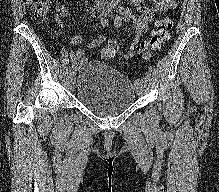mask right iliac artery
Masks as SVG:
<instances>
[{
	"mask_svg": "<svg viewBox=\"0 0 219 192\" xmlns=\"http://www.w3.org/2000/svg\"><path fill=\"white\" fill-rule=\"evenodd\" d=\"M112 11V6H108L98 17L99 20H103L104 17H106L110 12ZM74 65L70 67V72L74 70Z\"/></svg>",
	"mask_w": 219,
	"mask_h": 192,
	"instance_id": "1",
	"label": "right iliac artery"
}]
</instances>
